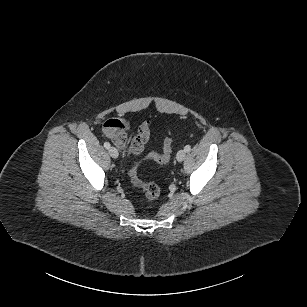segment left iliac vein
I'll return each instance as SVG.
<instances>
[{
  "mask_svg": "<svg viewBox=\"0 0 307 307\" xmlns=\"http://www.w3.org/2000/svg\"><path fill=\"white\" fill-rule=\"evenodd\" d=\"M186 157V151L181 149L177 152L176 158L178 162H182Z\"/></svg>",
  "mask_w": 307,
  "mask_h": 307,
  "instance_id": "obj_1",
  "label": "left iliac vein"
}]
</instances>
